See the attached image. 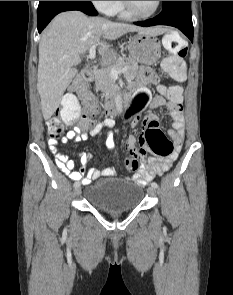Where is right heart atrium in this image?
Here are the masks:
<instances>
[{
  "label": "right heart atrium",
  "mask_w": 233,
  "mask_h": 295,
  "mask_svg": "<svg viewBox=\"0 0 233 295\" xmlns=\"http://www.w3.org/2000/svg\"><path fill=\"white\" fill-rule=\"evenodd\" d=\"M93 6L104 14H111L116 1H91Z\"/></svg>",
  "instance_id": "1"
}]
</instances>
